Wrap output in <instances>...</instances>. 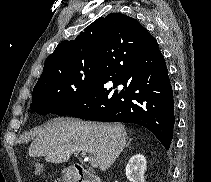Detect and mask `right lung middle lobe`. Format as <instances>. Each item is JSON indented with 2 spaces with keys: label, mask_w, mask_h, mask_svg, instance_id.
<instances>
[{
  "label": "right lung middle lobe",
  "mask_w": 211,
  "mask_h": 182,
  "mask_svg": "<svg viewBox=\"0 0 211 182\" xmlns=\"http://www.w3.org/2000/svg\"><path fill=\"white\" fill-rule=\"evenodd\" d=\"M92 66L66 76L36 85L30 109L41 115H62L69 111L86 93L96 77Z\"/></svg>",
  "instance_id": "1"
}]
</instances>
